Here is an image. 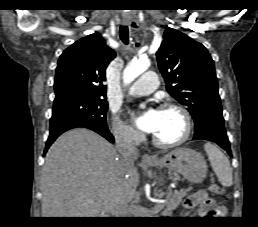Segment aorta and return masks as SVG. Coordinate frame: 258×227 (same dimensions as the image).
Masks as SVG:
<instances>
[{"label":"aorta","mask_w":258,"mask_h":227,"mask_svg":"<svg viewBox=\"0 0 258 227\" xmlns=\"http://www.w3.org/2000/svg\"><path fill=\"white\" fill-rule=\"evenodd\" d=\"M150 66V61L147 58H140L131 61L123 72L124 84L132 83L138 76L145 72Z\"/></svg>","instance_id":"obj_1"}]
</instances>
